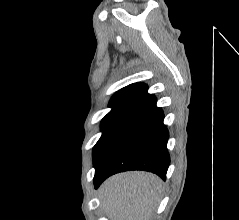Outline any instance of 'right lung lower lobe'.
<instances>
[{
    "mask_svg": "<svg viewBox=\"0 0 239 220\" xmlns=\"http://www.w3.org/2000/svg\"><path fill=\"white\" fill-rule=\"evenodd\" d=\"M156 102L148 94L130 109L95 166L96 188L110 175L129 170L150 171L165 179L170 163L169 134Z\"/></svg>",
    "mask_w": 239,
    "mask_h": 220,
    "instance_id": "obj_1",
    "label": "right lung lower lobe"
}]
</instances>
